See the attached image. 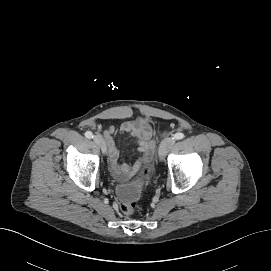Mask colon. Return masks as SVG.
Wrapping results in <instances>:
<instances>
[{
    "instance_id": "5ec220e1",
    "label": "colon",
    "mask_w": 271,
    "mask_h": 271,
    "mask_svg": "<svg viewBox=\"0 0 271 271\" xmlns=\"http://www.w3.org/2000/svg\"><path fill=\"white\" fill-rule=\"evenodd\" d=\"M120 209L125 216H131L135 213L136 205L134 202H124L121 204Z\"/></svg>"
}]
</instances>
